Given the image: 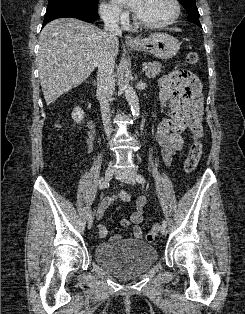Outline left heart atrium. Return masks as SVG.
Wrapping results in <instances>:
<instances>
[{"mask_svg": "<svg viewBox=\"0 0 245 314\" xmlns=\"http://www.w3.org/2000/svg\"><path fill=\"white\" fill-rule=\"evenodd\" d=\"M114 2L121 6H126L133 11H136L140 5L141 0H114Z\"/></svg>", "mask_w": 245, "mask_h": 314, "instance_id": "left-heart-atrium-1", "label": "left heart atrium"}]
</instances>
